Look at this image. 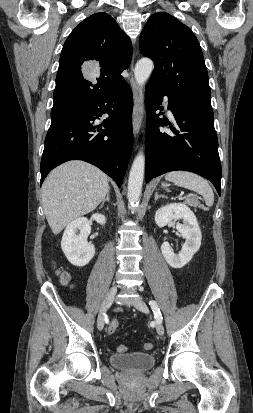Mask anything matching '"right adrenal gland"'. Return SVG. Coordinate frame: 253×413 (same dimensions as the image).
Here are the masks:
<instances>
[{"label":"right adrenal gland","instance_id":"2a0ac1e0","mask_svg":"<svg viewBox=\"0 0 253 413\" xmlns=\"http://www.w3.org/2000/svg\"><path fill=\"white\" fill-rule=\"evenodd\" d=\"M106 201H107V202L110 201V191L107 193L106 198L102 201V203H101V205H100L99 208H102V207L104 206V203H105Z\"/></svg>","mask_w":253,"mask_h":413}]
</instances>
